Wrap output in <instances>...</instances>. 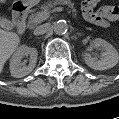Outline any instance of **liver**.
Segmentation results:
<instances>
[{
  "label": "liver",
  "instance_id": "liver-1",
  "mask_svg": "<svg viewBox=\"0 0 119 119\" xmlns=\"http://www.w3.org/2000/svg\"><path fill=\"white\" fill-rule=\"evenodd\" d=\"M6 0H0V3H5ZM20 44V37L15 32L5 31L0 29V74L4 64L15 52Z\"/></svg>",
  "mask_w": 119,
  "mask_h": 119
}]
</instances>
